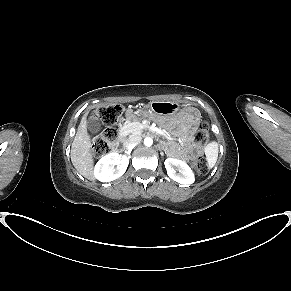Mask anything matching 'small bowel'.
<instances>
[{"mask_svg":"<svg viewBox=\"0 0 291 291\" xmlns=\"http://www.w3.org/2000/svg\"><path fill=\"white\" fill-rule=\"evenodd\" d=\"M132 118V113H127ZM201 118V111L196 106H184L173 111V118L167 123L169 132L177 139L169 145V154L180 160H189L193 158L197 149L192 142V134L198 120ZM164 121V118H159Z\"/></svg>","mask_w":291,"mask_h":291,"instance_id":"c3829d8e","label":"small bowel"}]
</instances>
